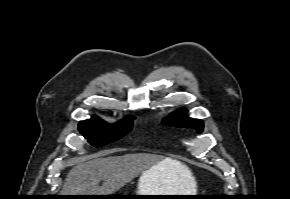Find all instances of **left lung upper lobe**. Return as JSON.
Listing matches in <instances>:
<instances>
[{"label":"left lung upper lobe","mask_w":290,"mask_h":199,"mask_svg":"<svg viewBox=\"0 0 290 199\" xmlns=\"http://www.w3.org/2000/svg\"><path fill=\"white\" fill-rule=\"evenodd\" d=\"M163 123L167 125H176L180 127L193 128V129H196L198 132H202L203 130V122L198 119L189 118L186 115L185 110H180V111L171 113L168 116L167 120L164 121Z\"/></svg>","instance_id":"1"}]
</instances>
